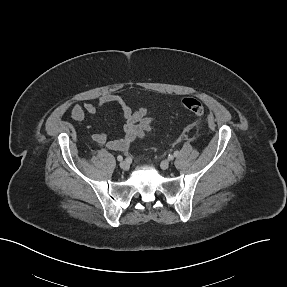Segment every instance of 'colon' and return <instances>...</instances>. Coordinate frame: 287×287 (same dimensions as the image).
Returning a JSON list of instances; mask_svg holds the SVG:
<instances>
[{
  "mask_svg": "<svg viewBox=\"0 0 287 287\" xmlns=\"http://www.w3.org/2000/svg\"><path fill=\"white\" fill-rule=\"evenodd\" d=\"M182 107L194 115H202L204 113V106L202 102L196 98H185L181 101Z\"/></svg>",
  "mask_w": 287,
  "mask_h": 287,
  "instance_id": "5ec220e1",
  "label": "colon"
}]
</instances>
